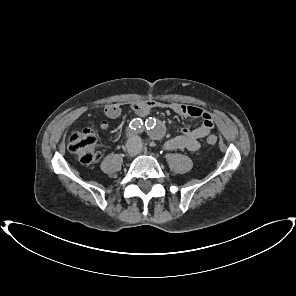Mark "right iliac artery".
<instances>
[{"instance_id": "1", "label": "right iliac artery", "mask_w": 296, "mask_h": 296, "mask_svg": "<svg viewBox=\"0 0 296 296\" xmlns=\"http://www.w3.org/2000/svg\"><path fill=\"white\" fill-rule=\"evenodd\" d=\"M143 125V122L141 119L137 118V119H133L131 122H130V125L129 127L132 129V130H139Z\"/></svg>"}]
</instances>
